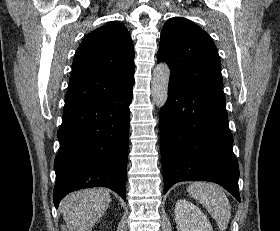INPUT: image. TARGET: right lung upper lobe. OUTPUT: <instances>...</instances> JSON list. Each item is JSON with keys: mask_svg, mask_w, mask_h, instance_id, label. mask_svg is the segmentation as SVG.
<instances>
[{"mask_svg": "<svg viewBox=\"0 0 280 231\" xmlns=\"http://www.w3.org/2000/svg\"><path fill=\"white\" fill-rule=\"evenodd\" d=\"M133 60L134 46L123 24L108 22L86 35L72 63L64 110L131 90Z\"/></svg>", "mask_w": 280, "mask_h": 231, "instance_id": "1", "label": "right lung upper lobe"}]
</instances>
